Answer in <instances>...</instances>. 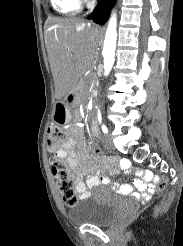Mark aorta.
Listing matches in <instances>:
<instances>
[{"instance_id":"obj_1","label":"aorta","mask_w":183,"mask_h":246,"mask_svg":"<svg viewBox=\"0 0 183 246\" xmlns=\"http://www.w3.org/2000/svg\"><path fill=\"white\" fill-rule=\"evenodd\" d=\"M117 42V17L115 11L108 22V27L105 34L104 46H103V57H104V75H109L114 61H115V49Z\"/></svg>"}]
</instances>
